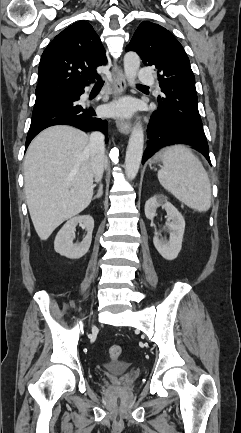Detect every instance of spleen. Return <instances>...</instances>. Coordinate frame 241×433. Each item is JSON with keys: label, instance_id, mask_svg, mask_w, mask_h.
<instances>
[{"label": "spleen", "instance_id": "obj_1", "mask_svg": "<svg viewBox=\"0 0 241 433\" xmlns=\"http://www.w3.org/2000/svg\"><path fill=\"white\" fill-rule=\"evenodd\" d=\"M163 167L158 171L160 184L180 202L198 212L211 206V184L200 160L190 149L173 146L162 155Z\"/></svg>", "mask_w": 241, "mask_h": 433}]
</instances>
